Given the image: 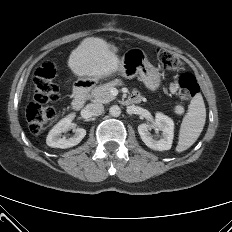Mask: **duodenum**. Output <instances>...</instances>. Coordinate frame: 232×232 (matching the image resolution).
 <instances>
[{
  "label": "duodenum",
  "instance_id": "obj_1",
  "mask_svg": "<svg viewBox=\"0 0 232 232\" xmlns=\"http://www.w3.org/2000/svg\"><path fill=\"white\" fill-rule=\"evenodd\" d=\"M92 86L93 83H89V84H79L76 87L74 99L72 102V107L75 111H79L80 109L83 108L86 101L87 93ZM131 97L125 101L126 104L138 103L140 101V99L133 100Z\"/></svg>",
  "mask_w": 232,
  "mask_h": 232
}]
</instances>
